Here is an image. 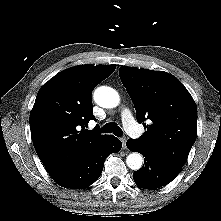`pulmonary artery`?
Here are the masks:
<instances>
[{
  "label": "pulmonary artery",
  "instance_id": "1",
  "mask_svg": "<svg viewBox=\"0 0 221 221\" xmlns=\"http://www.w3.org/2000/svg\"><path fill=\"white\" fill-rule=\"evenodd\" d=\"M122 122L128 134L135 138L141 135V131L138 125L136 124L130 110L124 109L122 111Z\"/></svg>",
  "mask_w": 221,
  "mask_h": 221
}]
</instances>
